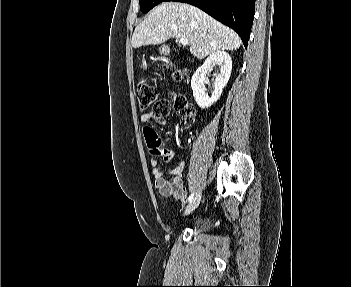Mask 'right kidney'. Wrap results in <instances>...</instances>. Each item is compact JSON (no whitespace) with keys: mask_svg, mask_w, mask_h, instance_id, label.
Segmentation results:
<instances>
[{"mask_svg":"<svg viewBox=\"0 0 351 287\" xmlns=\"http://www.w3.org/2000/svg\"><path fill=\"white\" fill-rule=\"evenodd\" d=\"M218 65L219 73L215 77L214 87L211 98L205 93L204 80L206 74ZM232 70V60L230 55L225 51H216L207 57L203 65L198 67L191 79V88L196 103L202 109L210 107L221 96L223 88L228 83Z\"/></svg>","mask_w":351,"mask_h":287,"instance_id":"right-kidney-1","label":"right kidney"}]
</instances>
